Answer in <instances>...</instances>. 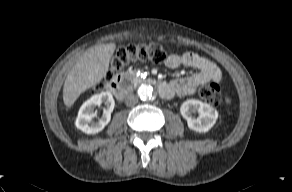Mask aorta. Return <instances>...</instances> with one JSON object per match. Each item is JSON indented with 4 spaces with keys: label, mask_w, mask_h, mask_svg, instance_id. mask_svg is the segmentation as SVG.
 <instances>
[{
    "label": "aorta",
    "mask_w": 292,
    "mask_h": 192,
    "mask_svg": "<svg viewBox=\"0 0 292 192\" xmlns=\"http://www.w3.org/2000/svg\"><path fill=\"white\" fill-rule=\"evenodd\" d=\"M139 98L146 102L154 98L155 92L151 85L143 84L137 90Z\"/></svg>",
    "instance_id": "aorta-1"
}]
</instances>
